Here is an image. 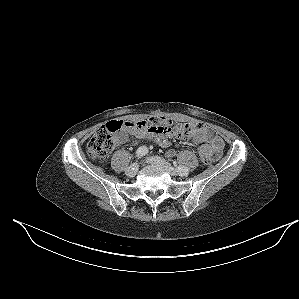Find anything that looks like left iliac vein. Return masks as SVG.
Returning a JSON list of instances; mask_svg holds the SVG:
<instances>
[{"instance_id": "1", "label": "left iliac vein", "mask_w": 299, "mask_h": 299, "mask_svg": "<svg viewBox=\"0 0 299 299\" xmlns=\"http://www.w3.org/2000/svg\"><path fill=\"white\" fill-rule=\"evenodd\" d=\"M147 161L151 164L158 165L163 167L165 170H167L172 176L177 175V171L174 169V167L168 163L166 160L157 157V156H151L147 158Z\"/></svg>"}]
</instances>
